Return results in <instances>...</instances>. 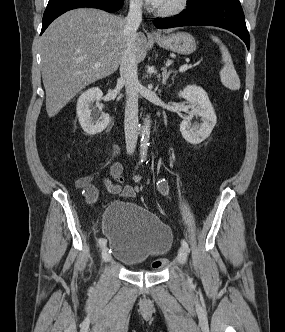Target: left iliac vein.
<instances>
[{"label":"left iliac vein","instance_id":"4c4485c4","mask_svg":"<svg viewBox=\"0 0 285 332\" xmlns=\"http://www.w3.org/2000/svg\"><path fill=\"white\" fill-rule=\"evenodd\" d=\"M177 261L182 265L185 264L187 261V252L183 247L179 249Z\"/></svg>","mask_w":285,"mask_h":332}]
</instances>
